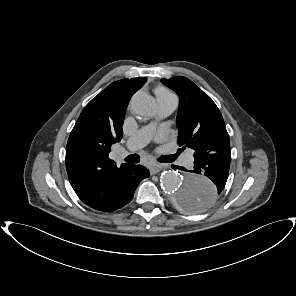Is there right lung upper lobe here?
<instances>
[{
    "instance_id": "1",
    "label": "right lung upper lobe",
    "mask_w": 296,
    "mask_h": 296,
    "mask_svg": "<svg viewBox=\"0 0 296 296\" xmlns=\"http://www.w3.org/2000/svg\"><path fill=\"white\" fill-rule=\"evenodd\" d=\"M146 78L115 81L81 112L67 143L66 169L74 191L89 207L106 211L120 196L129 164L117 167L111 146L122 139V126L131 96Z\"/></svg>"
}]
</instances>
